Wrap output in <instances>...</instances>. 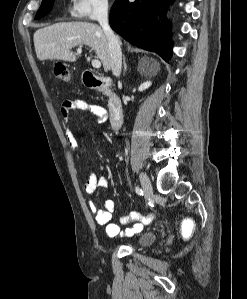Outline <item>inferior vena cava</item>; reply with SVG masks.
<instances>
[{
  "instance_id": "inferior-vena-cava-1",
  "label": "inferior vena cava",
  "mask_w": 247,
  "mask_h": 299,
  "mask_svg": "<svg viewBox=\"0 0 247 299\" xmlns=\"http://www.w3.org/2000/svg\"><path fill=\"white\" fill-rule=\"evenodd\" d=\"M98 22L102 27L108 40L110 68L113 75L119 77L122 69V51L118 37L114 34L109 25L108 6H103L98 13Z\"/></svg>"
}]
</instances>
